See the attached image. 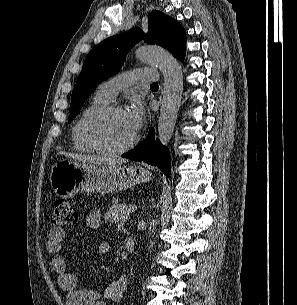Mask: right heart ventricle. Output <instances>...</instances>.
<instances>
[{"instance_id": "e07e8e85", "label": "right heart ventricle", "mask_w": 297, "mask_h": 305, "mask_svg": "<svg viewBox=\"0 0 297 305\" xmlns=\"http://www.w3.org/2000/svg\"><path fill=\"white\" fill-rule=\"evenodd\" d=\"M110 101L106 99L105 97L101 96L98 91L96 94L91 98V100L86 104V106L83 108L81 111L80 115L78 116L74 126H73V131H72V144L73 148L77 151L80 152H86V153H94L92 148L87 146L81 136H80V124L82 120L92 111L95 109L105 106L109 103Z\"/></svg>"}]
</instances>
